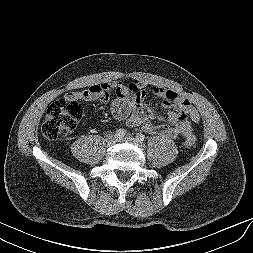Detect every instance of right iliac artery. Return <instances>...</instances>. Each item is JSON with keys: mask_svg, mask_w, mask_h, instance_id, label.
<instances>
[{"mask_svg": "<svg viewBox=\"0 0 253 253\" xmlns=\"http://www.w3.org/2000/svg\"><path fill=\"white\" fill-rule=\"evenodd\" d=\"M115 135L117 136V138H122L126 135V130L125 129H118V130H116Z\"/></svg>", "mask_w": 253, "mask_h": 253, "instance_id": "82829eb1", "label": "right iliac artery"}]
</instances>
